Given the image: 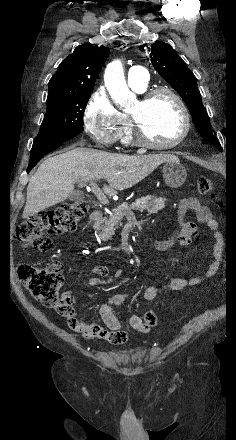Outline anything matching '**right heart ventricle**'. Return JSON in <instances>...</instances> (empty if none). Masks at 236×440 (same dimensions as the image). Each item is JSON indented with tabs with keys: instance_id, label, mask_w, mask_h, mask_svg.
Here are the masks:
<instances>
[{
	"instance_id": "right-heart-ventricle-1",
	"label": "right heart ventricle",
	"mask_w": 236,
	"mask_h": 440,
	"mask_svg": "<svg viewBox=\"0 0 236 440\" xmlns=\"http://www.w3.org/2000/svg\"><path fill=\"white\" fill-rule=\"evenodd\" d=\"M132 88L136 92H143L145 90V88H143V89H139V88H135V87H132ZM120 116L123 121L121 138H122L123 142L131 143L133 141V135H132L131 128H130L129 119L125 114H120Z\"/></svg>"
}]
</instances>
